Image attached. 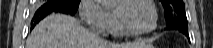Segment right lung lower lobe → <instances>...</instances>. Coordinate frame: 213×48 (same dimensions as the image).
<instances>
[{
    "instance_id": "right-lung-lower-lobe-1",
    "label": "right lung lower lobe",
    "mask_w": 213,
    "mask_h": 48,
    "mask_svg": "<svg viewBox=\"0 0 213 48\" xmlns=\"http://www.w3.org/2000/svg\"><path fill=\"white\" fill-rule=\"evenodd\" d=\"M52 12H61L70 15H74L70 10L64 7L62 4L57 2H45L35 13V18L32 20L31 29L43 18H45L48 14Z\"/></svg>"
}]
</instances>
